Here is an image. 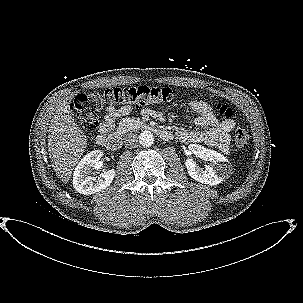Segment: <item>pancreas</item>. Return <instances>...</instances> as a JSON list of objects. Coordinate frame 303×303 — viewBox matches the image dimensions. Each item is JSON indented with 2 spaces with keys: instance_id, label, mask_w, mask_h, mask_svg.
<instances>
[{
  "instance_id": "1",
  "label": "pancreas",
  "mask_w": 303,
  "mask_h": 303,
  "mask_svg": "<svg viewBox=\"0 0 303 303\" xmlns=\"http://www.w3.org/2000/svg\"><path fill=\"white\" fill-rule=\"evenodd\" d=\"M144 126V123L139 119L135 118H124L118 125L117 134L122 135L129 131H134L140 127Z\"/></svg>"
}]
</instances>
